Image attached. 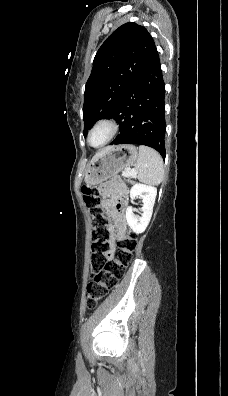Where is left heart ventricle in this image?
Here are the masks:
<instances>
[{"mask_svg": "<svg viewBox=\"0 0 228 396\" xmlns=\"http://www.w3.org/2000/svg\"><path fill=\"white\" fill-rule=\"evenodd\" d=\"M107 135H108V131L105 127H100L96 129L91 137L92 144L95 146L102 144L107 138Z\"/></svg>", "mask_w": 228, "mask_h": 396, "instance_id": "obj_1", "label": "left heart ventricle"}]
</instances>
